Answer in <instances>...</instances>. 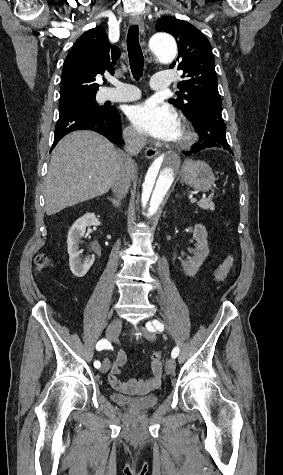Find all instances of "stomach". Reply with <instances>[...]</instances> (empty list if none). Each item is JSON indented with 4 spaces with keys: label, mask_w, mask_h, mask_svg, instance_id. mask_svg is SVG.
<instances>
[{
    "label": "stomach",
    "mask_w": 283,
    "mask_h": 475,
    "mask_svg": "<svg viewBox=\"0 0 283 475\" xmlns=\"http://www.w3.org/2000/svg\"><path fill=\"white\" fill-rule=\"evenodd\" d=\"M180 176L184 184H188L190 188L200 190V192H208L215 182L212 168L201 160H185Z\"/></svg>",
    "instance_id": "0dacf381"
}]
</instances>
